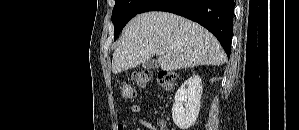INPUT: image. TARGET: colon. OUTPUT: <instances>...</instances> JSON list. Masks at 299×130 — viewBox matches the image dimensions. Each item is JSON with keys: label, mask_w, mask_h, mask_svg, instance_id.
I'll return each mask as SVG.
<instances>
[{"label": "colon", "mask_w": 299, "mask_h": 130, "mask_svg": "<svg viewBox=\"0 0 299 130\" xmlns=\"http://www.w3.org/2000/svg\"><path fill=\"white\" fill-rule=\"evenodd\" d=\"M135 84L140 87H146L151 80V73L147 70L136 71L133 74ZM158 85L165 91H172L176 83V74L172 71H160L157 75ZM121 97L124 101L132 100L136 96V88L128 83H124L120 89ZM151 130H168L165 124H152Z\"/></svg>", "instance_id": "colon-1"}]
</instances>
